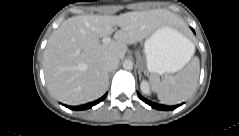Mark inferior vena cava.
I'll use <instances>...</instances> for the list:
<instances>
[{"mask_svg": "<svg viewBox=\"0 0 239 136\" xmlns=\"http://www.w3.org/2000/svg\"><path fill=\"white\" fill-rule=\"evenodd\" d=\"M102 64L104 66V68L110 72L113 71L114 69L117 68L118 64H119V59L116 57H108V58H104L102 61Z\"/></svg>", "mask_w": 239, "mask_h": 136, "instance_id": "602c4592", "label": "inferior vena cava"}]
</instances>
